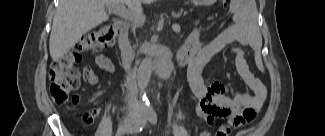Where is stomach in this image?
<instances>
[{"instance_id":"stomach-1","label":"stomach","mask_w":325,"mask_h":136,"mask_svg":"<svg viewBox=\"0 0 325 136\" xmlns=\"http://www.w3.org/2000/svg\"><path fill=\"white\" fill-rule=\"evenodd\" d=\"M194 2L203 4V3L211 2V1H207V0H194Z\"/></svg>"}]
</instances>
